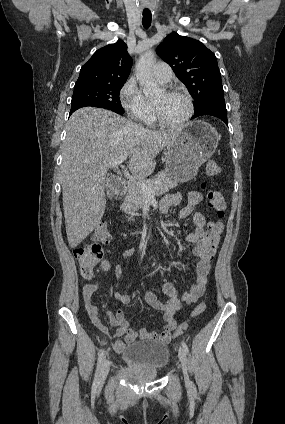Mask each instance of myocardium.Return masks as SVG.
<instances>
[{
	"label": "myocardium",
	"mask_w": 285,
	"mask_h": 424,
	"mask_svg": "<svg viewBox=\"0 0 285 424\" xmlns=\"http://www.w3.org/2000/svg\"><path fill=\"white\" fill-rule=\"evenodd\" d=\"M164 92L167 95L176 94V95L183 96L186 99L187 104H188V113L182 120H180L178 122H169V121H167L163 118V116L161 115V112L159 110V107L155 103H153V110H154V116H155L156 121L161 126H164V127H167V128L176 129V128H181V127L185 126L192 119V117L194 115V111H195L192 97L186 91L179 89V88H175V87H170V88L164 90Z\"/></svg>",
	"instance_id": "myocardium-1"
}]
</instances>
